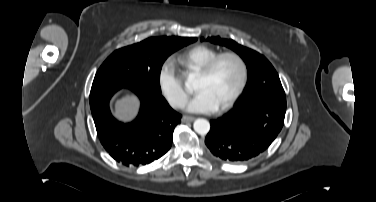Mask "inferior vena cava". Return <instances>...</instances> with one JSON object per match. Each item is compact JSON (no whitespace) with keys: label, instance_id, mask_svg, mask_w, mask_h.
<instances>
[{"label":"inferior vena cava","instance_id":"obj_1","mask_svg":"<svg viewBox=\"0 0 376 202\" xmlns=\"http://www.w3.org/2000/svg\"><path fill=\"white\" fill-rule=\"evenodd\" d=\"M186 99L183 97L178 98L174 103V107L183 108L185 106Z\"/></svg>","mask_w":376,"mask_h":202}]
</instances>
